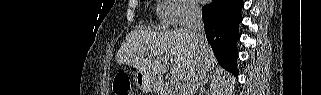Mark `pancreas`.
I'll return each mask as SVG.
<instances>
[{
	"mask_svg": "<svg viewBox=\"0 0 321 95\" xmlns=\"http://www.w3.org/2000/svg\"><path fill=\"white\" fill-rule=\"evenodd\" d=\"M163 94L164 95H175V91L173 90V88L171 86L165 85L164 90H163Z\"/></svg>",
	"mask_w": 321,
	"mask_h": 95,
	"instance_id": "pancreas-1",
	"label": "pancreas"
}]
</instances>
